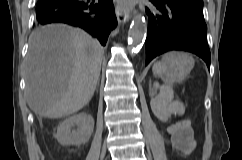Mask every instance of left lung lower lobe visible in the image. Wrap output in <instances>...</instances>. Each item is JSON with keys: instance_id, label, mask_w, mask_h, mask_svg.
Instances as JSON below:
<instances>
[{"instance_id": "1", "label": "left lung lower lobe", "mask_w": 242, "mask_h": 160, "mask_svg": "<svg viewBox=\"0 0 242 160\" xmlns=\"http://www.w3.org/2000/svg\"><path fill=\"white\" fill-rule=\"evenodd\" d=\"M146 8L149 24L146 38V65L156 56L171 50L192 52L210 68L207 26L203 7L188 0H150Z\"/></svg>"}]
</instances>
